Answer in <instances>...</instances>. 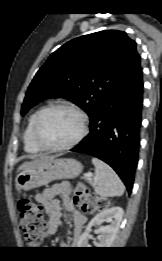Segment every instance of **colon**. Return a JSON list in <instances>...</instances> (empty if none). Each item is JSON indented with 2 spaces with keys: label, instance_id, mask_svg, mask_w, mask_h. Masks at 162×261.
<instances>
[{
  "label": "colon",
  "instance_id": "1",
  "mask_svg": "<svg viewBox=\"0 0 162 261\" xmlns=\"http://www.w3.org/2000/svg\"><path fill=\"white\" fill-rule=\"evenodd\" d=\"M73 200L83 212L88 214L103 210L110 204L108 199L94 195L90 187L83 183L75 187ZM18 211L19 225L25 242L29 246L40 245L45 235L40 208L32 200L21 198L18 201Z\"/></svg>",
  "mask_w": 162,
  "mask_h": 261
}]
</instances>
